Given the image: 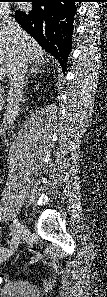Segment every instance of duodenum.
<instances>
[{"mask_svg": "<svg viewBox=\"0 0 107 297\" xmlns=\"http://www.w3.org/2000/svg\"><path fill=\"white\" fill-rule=\"evenodd\" d=\"M0 128H2V124H0ZM0 130H2V129H0Z\"/></svg>", "mask_w": 107, "mask_h": 297, "instance_id": "obj_1", "label": "duodenum"}]
</instances>
